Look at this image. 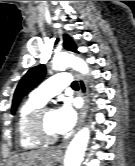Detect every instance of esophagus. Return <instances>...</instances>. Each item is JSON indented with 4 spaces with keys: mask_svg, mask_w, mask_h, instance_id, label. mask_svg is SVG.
Returning <instances> with one entry per match:
<instances>
[{
    "mask_svg": "<svg viewBox=\"0 0 135 166\" xmlns=\"http://www.w3.org/2000/svg\"><path fill=\"white\" fill-rule=\"evenodd\" d=\"M77 78H78V83H79V88H80L79 94L83 100V104H82V107L80 110L79 123H78L76 130H78L80 128L81 124L83 123L85 115H86V111H87V86H86L84 79L80 75H77ZM67 143L68 142L64 143V145L62 147L56 149L55 152H60L62 148L66 147Z\"/></svg>",
    "mask_w": 135,
    "mask_h": 166,
    "instance_id": "1",
    "label": "esophagus"
}]
</instances>
